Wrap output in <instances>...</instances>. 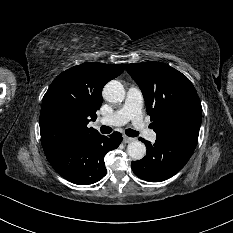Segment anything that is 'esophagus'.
I'll return each mask as SVG.
<instances>
[{
    "mask_svg": "<svg viewBox=\"0 0 233 233\" xmlns=\"http://www.w3.org/2000/svg\"><path fill=\"white\" fill-rule=\"evenodd\" d=\"M135 140V138H131L128 136H123V143L127 144V143H131Z\"/></svg>",
    "mask_w": 233,
    "mask_h": 233,
    "instance_id": "34e87169",
    "label": "esophagus"
}]
</instances>
